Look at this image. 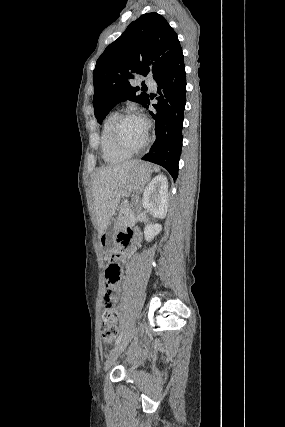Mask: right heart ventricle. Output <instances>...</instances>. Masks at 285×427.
<instances>
[{
    "instance_id": "right-heart-ventricle-1",
    "label": "right heart ventricle",
    "mask_w": 285,
    "mask_h": 427,
    "mask_svg": "<svg viewBox=\"0 0 285 427\" xmlns=\"http://www.w3.org/2000/svg\"><path fill=\"white\" fill-rule=\"evenodd\" d=\"M118 113L115 111L110 112L105 118L100 134V148L103 159L108 163H120L128 160L131 154L125 153L118 149L112 139L111 129Z\"/></svg>"
}]
</instances>
